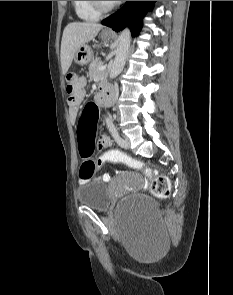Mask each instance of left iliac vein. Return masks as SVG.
<instances>
[{"mask_svg": "<svg viewBox=\"0 0 233 295\" xmlns=\"http://www.w3.org/2000/svg\"><path fill=\"white\" fill-rule=\"evenodd\" d=\"M122 140H125V145H120L122 148H125V149H129L130 147V142L127 138H122Z\"/></svg>", "mask_w": 233, "mask_h": 295, "instance_id": "left-iliac-vein-1", "label": "left iliac vein"}]
</instances>
